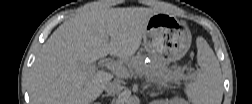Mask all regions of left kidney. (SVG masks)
I'll use <instances>...</instances> for the list:
<instances>
[{"label":"left kidney","mask_w":252,"mask_h":104,"mask_svg":"<svg viewBox=\"0 0 252 104\" xmlns=\"http://www.w3.org/2000/svg\"><path fill=\"white\" fill-rule=\"evenodd\" d=\"M172 103H180V104H183L185 103V101L181 98H174L171 100Z\"/></svg>","instance_id":"1"}]
</instances>
